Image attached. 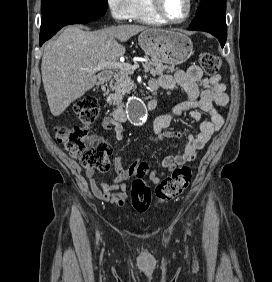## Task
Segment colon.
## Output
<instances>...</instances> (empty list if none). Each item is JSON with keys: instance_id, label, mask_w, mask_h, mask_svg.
<instances>
[{"instance_id": "obj_1", "label": "colon", "mask_w": 272, "mask_h": 282, "mask_svg": "<svg viewBox=\"0 0 272 282\" xmlns=\"http://www.w3.org/2000/svg\"><path fill=\"white\" fill-rule=\"evenodd\" d=\"M199 64L209 75L217 74L220 69L219 59L207 52L199 55ZM73 111L80 124L57 126L54 130L55 139L85 169L108 171L110 168L109 144L103 139L93 138L89 135V130L96 123L98 117L97 102L90 97L79 99L73 104ZM143 173V168H132L134 180L131 184L130 194L132 205L138 212H145L152 205L160 206L175 199L192 181L191 167L177 168L156 186L155 199L153 200L150 188L142 182Z\"/></svg>"}]
</instances>
